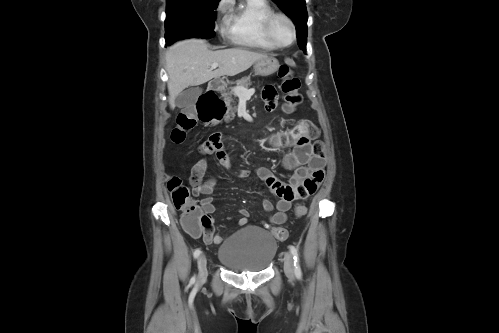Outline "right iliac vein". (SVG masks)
<instances>
[{
    "instance_id": "right-iliac-vein-1",
    "label": "right iliac vein",
    "mask_w": 499,
    "mask_h": 333,
    "mask_svg": "<svg viewBox=\"0 0 499 333\" xmlns=\"http://www.w3.org/2000/svg\"><path fill=\"white\" fill-rule=\"evenodd\" d=\"M199 281L202 282L207 278V259L204 254L198 258Z\"/></svg>"
}]
</instances>
